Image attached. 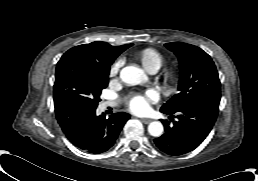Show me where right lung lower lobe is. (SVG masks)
I'll return each mask as SVG.
<instances>
[{"instance_id":"right-lung-lower-lobe-1","label":"right lung lower lobe","mask_w":258,"mask_h":181,"mask_svg":"<svg viewBox=\"0 0 258 181\" xmlns=\"http://www.w3.org/2000/svg\"><path fill=\"white\" fill-rule=\"evenodd\" d=\"M96 109L79 105L55 108L56 118L63 132L76 147L93 154L110 149L130 115L116 113L108 119L96 116Z\"/></svg>"}]
</instances>
